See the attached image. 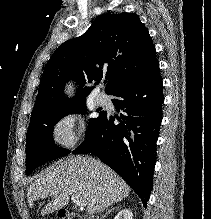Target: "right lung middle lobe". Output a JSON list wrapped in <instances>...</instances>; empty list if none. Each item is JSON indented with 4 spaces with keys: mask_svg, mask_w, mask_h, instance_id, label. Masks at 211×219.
<instances>
[{
    "mask_svg": "<svg viewBox=\"0 0 211 219\" xmlns=\"http://www.w3.org/2000/svg\"><path fill=\"white\" fill-rule=\"evenodd\" d=\"M87 112L85 99L60 107L50 113L31 118L26 138V174H30L44 162L63 157L70 153L58 147L53 140V127L70 113ZM105 111L99 112L98 118L89 120L86 135L89 134Z\"/></svg>",
    "mask_w": 211,
    "mask_h": 219,
    "instance_id": "obj_1",
    "label": "right lung middle lobe"
}]
</instances>
